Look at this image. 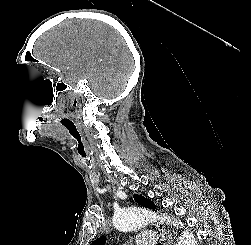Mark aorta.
Here are the masks:
<instances>
[{
    "label": "aorta",
    "instance_id": "1",
    "mask_svg": "<svg viewBox=\"0 0 251 245\" xmlns=\"http://www.w3.org/2000/svg\"><path fill=\"white\" fill-rule=\"evenodd\" d=\"M153 217L154 214L150 210L130 207L116 211L113 217V225L119 231H134L147 225ZM168 222L183 227V223L180 221H171L168 218ZM176 245H197L195 235L190 230L185 229Z\"/></svg>",
    "mask_w": 251,
    "mask_h": 245
}]
</instances>
